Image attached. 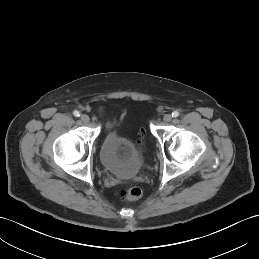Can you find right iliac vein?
Returning <instances> with one entry per match:
<instances>
[{
  "label": "right iliac vein",
  "mask_w": 259,
  "mask_h": 259,
  "mask_svg": "<svg viewBox=\"0 0 259 259\" xmlns=\"http://www.w3.org/2000/svg\"><path fill=\"white\" fill-rule=\"evenodd\" d=\"M80 119L84 122V123H87L89 122V116L86 115V114H82Z\"/></svg>",
  "instance_id": "1"
}]
</instances>
